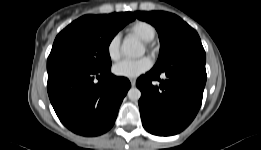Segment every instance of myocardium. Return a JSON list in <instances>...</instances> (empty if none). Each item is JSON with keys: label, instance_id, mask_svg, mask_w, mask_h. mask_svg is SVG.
<instances>
[{"label": "myocardium", "instance_id": "obj_1", "mask_svg": "<svg viewBox=\"0 0 261 150\" xmlns=\"http://www.w3.org/2000/svg\"><path fill=\"white\" fill-rule=\"evenodd\" d=\"M145 43V47L148 49V50H151V51H154L155 50V45L154 43L151 41H144Z\"/></svg>", "mask_w": 261, "mask_h": 150}]
</instances>
